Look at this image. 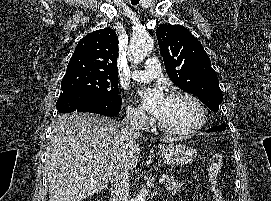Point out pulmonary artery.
<instances>
[{
    "label": "pulmonary artery",
    "mask_w": 271,
    "mask_h": 201,
    "mask_svg": "<svg viewBox=\"0 0 271 201\" xmlns=\"http://www.w3.org/2000/svg\"><path fill=\"white\" fill-rule=\"evenodd\" d=\"M160 73L159 60L157 58H149L146 60L145 68L133 71L131 77L135 81L145 82L159 76Z\"/></svg>",
    "instance_id": "obj_1"
}]
</instances>
